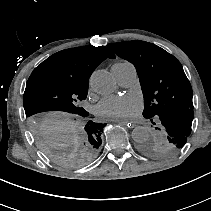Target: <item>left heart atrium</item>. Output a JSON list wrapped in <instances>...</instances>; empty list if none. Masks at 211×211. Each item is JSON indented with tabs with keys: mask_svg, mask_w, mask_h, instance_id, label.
Wrapping results in <instances>:
<instances>
[{
	"mask_svg": "<svg viewBox=\"0 0 211 211\" xmlns=\"http://www.w3.org/2000/svg\"><path fill=\"white\" fill-rule=\"evenodd\" d=\"M142 110L141 100L133 94L104 97L96 106L95 114L102 120H120L138 115Z\"/></svg>",
	"mask_w": 211,
	"mask_h": 211,
	"instance_id": "left-heart-atrium-1",
	"label": "left heart atrium"
}]
</instances>
